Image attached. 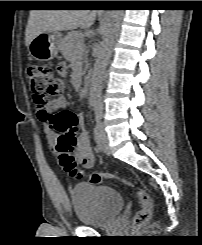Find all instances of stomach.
<instances>
[{"label":"stomach","mask_w":202,"mask_h":245,"mask_svg":"<svg viewBox=\"0 0 202 245\" xmlns=\"http://www.w3.org/2000/svg\"><path fill=\"white\" fill-rule=\"evenodd\" d=\"M59 32H42L29 44L30 55L39 61H49L57 56L62 42Z\"/></svg>","instance_id":"1"}]
</instances>
